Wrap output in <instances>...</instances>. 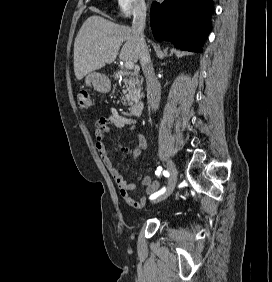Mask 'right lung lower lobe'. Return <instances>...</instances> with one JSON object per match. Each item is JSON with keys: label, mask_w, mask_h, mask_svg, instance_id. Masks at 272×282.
Listing matches in <instances>:
<instances>
[{"label": "right lung lower lobe", "mask_w": 272, "mask_h": 282, "mask_svg": "<svg viewBox=\"0 0 272 282\" xmlns=\"http://www.w3.org/2000/svg\"><path fill=\"white\" fill-rule=\"evenodd\" d=\"M212 0H164L151 5L150 22L158 41H170L181 50L202 52L210 32Z\"/></svg>", "instance_id": "obj_1"}]
</instances>
